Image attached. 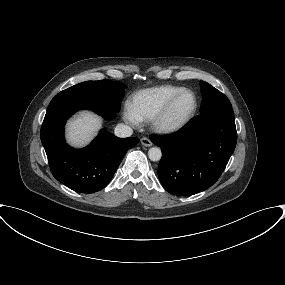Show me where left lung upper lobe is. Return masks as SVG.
<instances>
[{"label": "left lung upper lobe", "instance_id": "left-lung-upper-lobe-1", "mask_svg": "<svg viewBox=\"0 0 285 285\" xmlns=\"http://www.w3.org/2000/svg\"><path fill=\"white\" fill-rule=\"evenodd\" d=\"M200 88L202 94L201 114L214 110L233 112L229 99L219 90L204 81H200Z\"/></svg>", "mask_w": 285, "mask_h": 285}]
</instances>
